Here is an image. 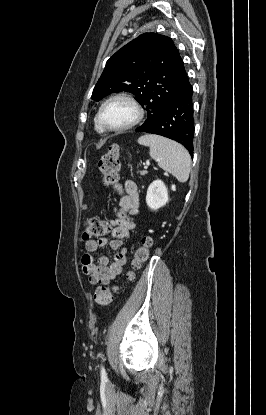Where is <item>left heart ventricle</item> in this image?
I'll list each match as a JSON object with an SVG mask.
<instances>
[{
    "mask_svg": "<svg viewBox=\"0 0 266 415\" xmlns=\"http://www.w3.org/2000/svg\"><path fill=\"white\" fill-rule=\"evenodd\" d=\"M134 117V108L124 100H116L109 103L103 112L104 122L111 127L126 125L131 122Z\"/></svg>",
    "mask_w": 266,
    "mask_h": 415,
    "instance_id": "1",
    "label": "left heart ventricle"
}]
</instances>
